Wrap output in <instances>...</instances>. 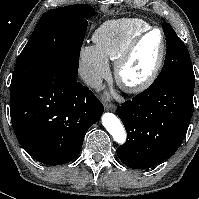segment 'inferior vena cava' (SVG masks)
<instances>
[{
    "label": "inferior vena cava",
    "mask_w": 199,
    "mask_h": 199,
    "mask_svg": "<svg viewBox=\"0 0 199 199\" xmlns=\"http://www.w3.org/2000/svg\"><path fill=\"white\" fill-rule=\"evenodd\" d=\"M81 77L83 81L91 88H100L102 87V78L88 69H82L81 72Z\"/></svg>",
    "instance_id": "inferior-vena-cava-1"
}]
</instances>
